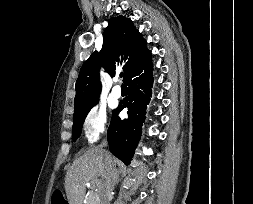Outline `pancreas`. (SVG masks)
I'll use <instances>...</instances> for the list:
<instances>
[{"label": "pancreas", "mask_w": 253, "mask_h": 204, "mask_svg": "<svg viewBox=\"0 0 253 204\" xmlns=\"http://www.w3.org/2000/svg\"><path fill=\"white\" fill-rule=\"evenodd\" d=\"M85 204H99L97 192L91 190Z\"/></svg>", "instance_id": "pancreas-1"}]
</instances>
